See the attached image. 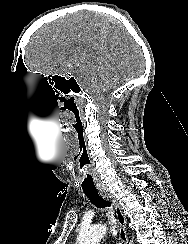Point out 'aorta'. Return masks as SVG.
Returning a JSON list of instances; mask_svg holds the SVG:
<instances>
[{
    "label": "aorta",
    "mask_w": 188,
    "mask_h": 244,
    "mask_svg": "<svg viewBox=\"0 0 188 244\" xmlns=\"http://www.w3.org/2000/svg\"><path fill=\"white\" fill-rule=\"evenodd\" d=\"M106 232L107 227L101 224L83 227L77 238V244H99Z\"/></svg>",
    "instance_id": "aorta-1"
}]
</instances>
